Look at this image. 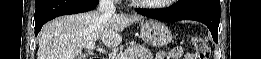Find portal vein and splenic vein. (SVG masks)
Here are the masks:
<instances>
[{"instance_id":"18ae733b","label":"portal vein and splenic vein","mask_w":261,"mask_h":59,"mask_svg":"<svg viewBox=\"0 0 261 59\" xmlns=\"http://www.w3.org/2000/svg\"><path fill=\"white\" fill-rule=\"evenodd\" d=\"M87 48H88V50H95L96 49L95 42L89 43L87 45ZM97 51L100 53H105V50L102 48H97ZM116 59H127V58L124 56H120V57H116Z\"/></svg>"}]
</instances>
